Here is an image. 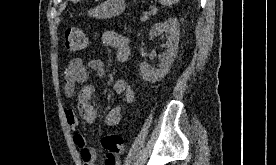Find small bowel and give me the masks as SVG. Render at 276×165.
I'll list each match as a JSON object with an SVG mask.
<instances>
[{"mask_svg": "<svg viewBox=\"0 0 276 165\" xmlns=\"http://www.w3.org/2000/svg\"><path fill=\"white\" fill-rule=\"evenodd\" d=\"M103 45L113 49L119 62L125 63L130 57L129 40L122 34L105 31L102 34ZM90 73L98 76L105 75V67L101 60L90 59L84 62L80 58L71 60L64 69V93L66 97L72 98L76 89L80 87L77 94V108L81 119L88 124L96 121L97 111L93 102L94 87L88 83ZM114 92L121 98V102L112 107L105 115L104 124L114 127L119 124L122 115V104L132 103L135 99L133 88L123 79H118L113 85ZM66 120L73 133V142L78 147L84 165H99L96 162V152L90 147L85 138L77 132L79 124L78 115L73 110L66 111ZM105 165H119L117 156L107 155Z\"/></svg>", "mask_w": 276, "mask_h": 165, "instance_id": "small-bowel-1", "label": "small bowel"}]
</instances>
